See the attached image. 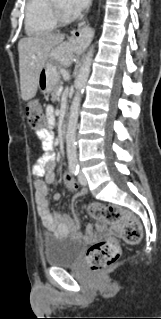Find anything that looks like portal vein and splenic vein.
<instances>
[{
    "label": "portal vein and splenic vein",
    "instance_id": "obj_1",
    "mask_svg": "<svg viewBox=\"0 0 161 319\" xmlns=\"http://www.w3.org/2000/svg\"><path fill=\"white\" fill-rule=\"evenodd\" d=\"M62 91H63V88H62V87H59V89H58V91H57V95L60 96L61 93H62Z\"/></svg>",
    "mask_w": 161,
    "mask_h": 319
}]
</instances>
